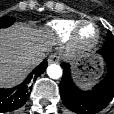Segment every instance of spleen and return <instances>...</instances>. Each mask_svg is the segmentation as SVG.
Segmentation results:
<instances>
[{
    "label": "spleen",
    "mask_w": 114,
    "mask_h": 114,
    "mask_svg": "<svg viewBox=\"0 0 114 114\" xmlns=\"http://www.w3.org/2000/svg\"><path fill=\"white\" fill-rule=\"evenodd\" d=\"M94 83H95V81H90V80H88V81H85V82H84V86H85V87H91Z\"/></svg>",
    "instance_id": "1"
}]
</instances>
